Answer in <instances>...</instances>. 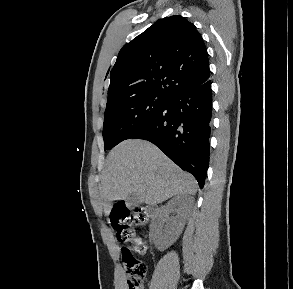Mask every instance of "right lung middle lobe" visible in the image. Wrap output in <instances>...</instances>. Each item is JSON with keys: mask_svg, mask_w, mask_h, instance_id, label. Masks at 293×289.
Instances as JSON below:
<instances>
[{"mask_svg": "<svg viewBox=\"0 0 293 289\" xmlns=\"http://www.w3.org/2000/svg\"><path fill=\"white\" fill-rule=\"evenodd\" d=\"M168 99L162 94L146 93L107 105L103 125L105 150L126 140L129 135L157 113Z\"/></svg>", "mask_w": 293, "mask_h": 289, "instance_id": "1", "label": "right lung middle lobe"}]
</instances>
